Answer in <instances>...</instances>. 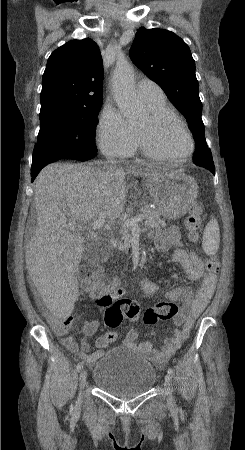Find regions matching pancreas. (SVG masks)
Masks as SVG:
<instances>
[{
	"label": "pancreas",
	"instance_id": "obj_1",
	"mask_svg": "<svg viewBox=\"0 0 245 450\" xmlns=\"http://www.w3.org/2000/svg\"><path fill=\"white\" fill-rule=\"evenodd\" d=\"M140 213L144 215L145 225L151 228H164L166 223L160 218V213L157 210L150 209L148 206H143L140 209ZM121 234L118 249L121 251H127L131 244L132 234L129 228L122 227L119 231Z\"/></svg>",
	"mask_w": 245,
	"mask_h": 450
}]
</instances>
